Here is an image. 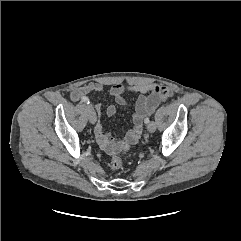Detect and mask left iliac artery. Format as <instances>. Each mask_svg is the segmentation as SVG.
<instances>
[{"instance_id":"obj_1","label":"left iliac artery","mask_w":241,"mask_h":241,"mask_svg":"<svg viewBox=\"0 0 241 241\" xmlns=\"http://www.w3.org/2000/svg\"><path fill=\"white\" fill-rule=\"evenodd\" d=\"M144 122L147 124V123H149L150 121H149L148 118H146V119L144 120Z\"/></svg>"}]
</instances>
